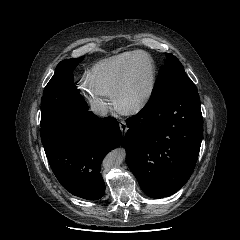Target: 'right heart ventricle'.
<instances>
[{
	"label": "right heart ventricle",
	"mask_w": 240,
	"mask_h": 240,
	"mask_svg": "<svg viewBox=\"0 0 240 240\" xmlns=\"http://www.w3.org/2000/svg\"><path fill=\"white\" fill-rule=\"evenodd\" d=\"M148 58L149 55L142 50L126 51L112 56L100 61L94 66V78L112 92L118 76L127 62L133 60L135 67L139 68L146 63Z\"/></svg>",
	"instance_id": "e07e8e85"
}]
</instances>
